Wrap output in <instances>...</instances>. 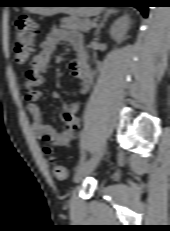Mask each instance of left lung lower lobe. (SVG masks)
Returning a JSON list of instances; mask_svg holds the SVG:
<instances>
[{"mask_svg":"<svg viewBox=\"0 0 170 231\" xmlns=\"http://www.w3.org/2000/svg\"><path fill=\"white\" fill-rule=\"evenodd\" d=\"M104 6L136 7L144 17L148 15L149 0H99Z\"/></svg>","mask_w":170,"mask_h":231,"instance_id":"1","label":"left lung lower lobe"}]
</instances>
